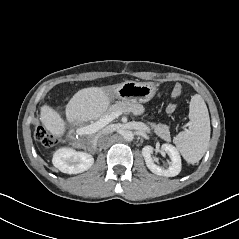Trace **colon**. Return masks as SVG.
<instances>
[{
    "mask_svg": "<svg viewBox=\"0 0 239 239\" xmlns=\"http://www.w3.org/2000/svg\"><path fill=\"white\" fill-rule=\"evenodd\" d=\"M35 138L47 147L53 146L57 142L56 137L48 132L43 126L37 127Z\"/></svg>",
    "mask_w": 239,
    "mask_h": 239,
    "instance_id": "colon-1",
    "label": "colon"
}]
</instances>
